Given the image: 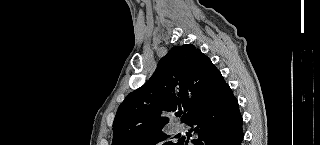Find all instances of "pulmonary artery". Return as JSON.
Wrapping results in <instances>:
<instances>
[{
    "instance_id": "obj_1",
    "label": "pulmonary artery",
    "mask_w": 320,
    "mask_h": 145,
    "mask_svg": "<svg viewBox=\"0 0 320 145\" xmlns=\"http://www.w3.org/2000/svg\"><path fill=\"white\" fill-rule=\"evenodd\" d=\"M173 130L175 132H183L184 131V126L182 124H180V123H175L173 125Z\"/></svg>"
}]
</instances>
